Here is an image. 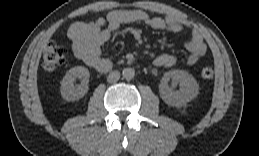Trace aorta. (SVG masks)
Segmentation results:
<instances>
[{"label": "aorta", "mask_w": 259, "mask_h": 156, "mask_svg": "<svg viewBox=\"0 0 259 156\" xmlns=\"http://www.w3.org/2000/svg\"><path fill=\"white\" fill-rule=\"evenodd\" d=\"M123 78L126 80H131L135 76V70L133 68H124L122 71Z\"/></svg>", "instance_id": "obj_1"}]
</instances>
